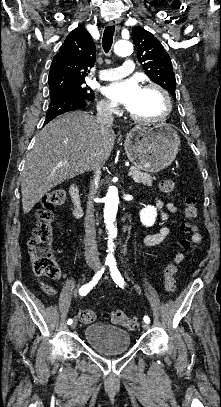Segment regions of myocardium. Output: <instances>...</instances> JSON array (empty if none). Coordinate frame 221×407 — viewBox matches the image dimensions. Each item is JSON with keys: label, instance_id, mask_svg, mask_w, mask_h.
<instances>
[{"label": "myocardium", "instance_id": "myocardium-1", "mask_svg": "<svg viewBox=\"0 0 221 407\" xmlns=\"http://www.w3.org/2000/svg\"><path fill=\"white\" fill-rule=\"evenodd\" d=\"M143 89H145V90L155 89L161 94V96L163 97V100H164V111L160 116L154 117V118L139 117L130 111L129 114H130L131 118L136 122L146 123V124L158 123V122L164 121L169 116L171 109H172V99H171L169 92L162 85L154 83V82L145 84L143 86Z\"/></svg>", "mask_w": 221, "mask_h": 407}]
</instances>
